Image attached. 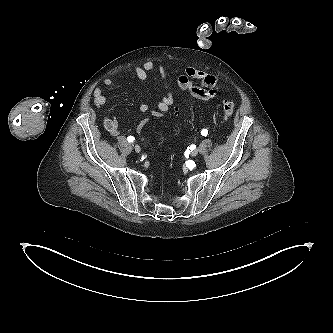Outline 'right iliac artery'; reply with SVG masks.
<instances>
[{
  "instance_id": "obj_1",
  "label": "right iliac artery",
  "mask_w": 333,
  "mask_h": 333,
  "mask_svg": "<svg viewBox=\"0 0 333 333\" xmlns=\"http://www.w3.org/2000/svg\"><path fill=\"white\" fill-rule=\"evenodd\" d=\"M127 140H128L129 143H133L134 140H135V138H134L133 136H129V137L127 138Z\"/></svg>"
}]
</instances>
